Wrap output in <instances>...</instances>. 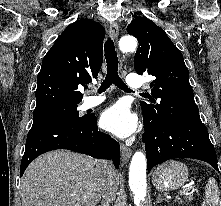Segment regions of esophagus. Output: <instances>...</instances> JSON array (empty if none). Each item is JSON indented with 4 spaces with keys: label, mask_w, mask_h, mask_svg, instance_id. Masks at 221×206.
<instances>
[{
    "label": "esophagus",
    "mask_w": 221,
    "mask_h": 206,
    "mask_svg": "<svg viewBox=\"0 0 221 206\" xmlns=\"http://www.w3.org/2000/svg\"><path fill=\"white\" fill-rule=\"evenodd\" d=\"M110 35L117 39L119 34V28L117 23L111 22L109 26ZM132 151L130 148L126 147L124 144H121V160L123 163H127L131 157Z\"/></svg>",
    "instance_id": "34e87169"
}]
</instances>
